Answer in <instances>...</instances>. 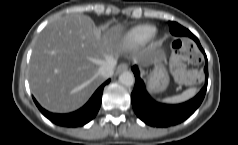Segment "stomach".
<instances>
[{
	"label": "stomach",
	"instance_id": "obj_1",
	"mask_svg": "<svg viewBox=\"0 0 238 145\" xmlns=\"http://www.w3.org/2000/svg\"><path fill=\"white\" fill-rule=\"evenodd\" d=\"M154 63V69L148 76V88L151 92H162L169 85V75L163 65L164 55Z\"/></svg>",
	"mask_w": 238,
	"mask_h": 145
}]
</instances>
